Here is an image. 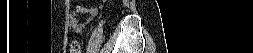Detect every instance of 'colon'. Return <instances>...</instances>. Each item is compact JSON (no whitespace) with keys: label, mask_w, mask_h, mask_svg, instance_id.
I'll return each instance as SVG.
<instances>
[{"label":"colon","mask_w":253,"mask_h":53,"mask_svg":"<svg viewBox=\"0 0 253 53\" xmlns=\"http://www.w3.org/2000/svg\"><path fill=\"white\" fill-rule=\"evenodd\" d=\"M71 53H81V44L78 40H73L70 45Z\"/></svg>","instance_id":"obj_1"}]
</instances>
